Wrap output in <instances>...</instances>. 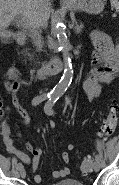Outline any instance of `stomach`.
I'll use <instances>...</instances> for the list:
<instances>
[{
    "instance_id": "1",
    "label": "stomach",
    "mask_w": 119,
    "mask_h": 185,
    "mask_svg": "<svg viewBox=\"0 0 119 185\" xmlns=\"http://www.w3.org/2000/svg\"><path fill=\"white\" fill-rule=\"evenodd\" d=\"M107 0H72L70 9L84 11L89 14H99L103 11Z\"/></svg>"
}]
</instances>
